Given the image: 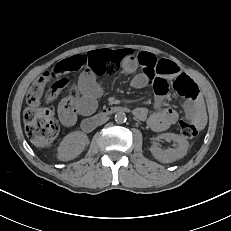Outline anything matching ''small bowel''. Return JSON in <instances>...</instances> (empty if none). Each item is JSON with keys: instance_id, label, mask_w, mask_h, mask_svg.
I'll use <instances>...</instances> for the list:
<instances>
[{"instance_id": "1", "label": "small bowel", "mask_w": 231, "mask_h": 231, "mask_svg": "<svg viewBox=\"0 0 231 231\" xmlns=\"http://www.w3.org/2000/svg\"><path fill=\"white\" fill-rule=\"evenodd\" d=\"M141 71L135 75L132 84L136 88L146 89L154 86L155 80L160 78L166 81L183 74L180 68L172 61L157 58L150 52H135L129 49H101L72 56L57 63L53 69L60 75L71 72H80V76L72 91L59 103L58 114L65 126L76 123L77 114L87 115L96 107V97L102 86L97 80L104 74L122 73L125 75ZM159 95V94H158ZM159 95L152 112L145 107L134 110L135 116L146 121L154 131H164L174 125L178 119V112L165 106ZM187 117L202 129L206 122L204 103L200 96L188 99L184 104Z\"/></svg>"}]
</instances>
